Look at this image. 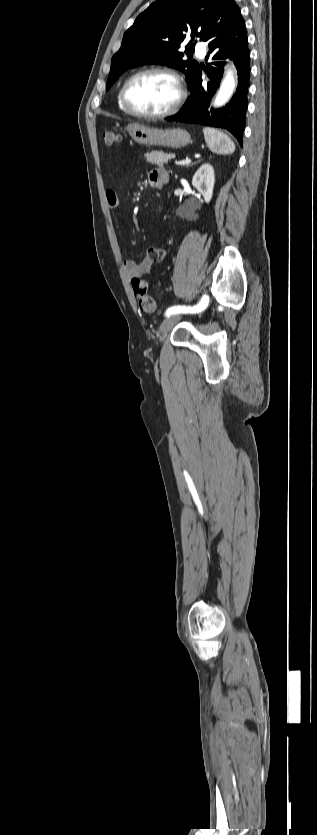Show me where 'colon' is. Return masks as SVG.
<instances>
[{
  "instance_id": "colon-1",
  "label": "colon",
  "mask_w": 317,
  "mask_h": 835,
  "mask_svg": "<svg viewBox=\"0 0 317 835\" xmlns=\"http://www.w3.org/2000/svg\"><path fill=\"white\" fill-rule=\"evenodd\" d=\"M102 136L104 144L108 148L115 146L120 140L118 133L110 129L105 130ZM147 253L155 261H160L166 257L167 250L160 247H149ZM131 286L134 296L138 301L139 308L146 313L154 312L156 303L154 298L148 294L147 282L141 278H132Z\"/></svg>"
}]
</instances>
